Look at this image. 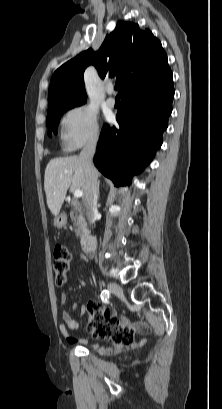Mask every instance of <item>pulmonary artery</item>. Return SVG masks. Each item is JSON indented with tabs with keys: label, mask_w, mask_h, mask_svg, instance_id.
<instances>
[{
	"label": "pulmonary artery",
	"mask_w": 222,
	"mask_h": 409,
	"mask_svg": "<svg viewBox=\"0 0 222 409\" xmlns=\"http://www.w3.org/2000/svg\"><path fill=\"white\" fill-rule=\"evenodd\" d=\"M107 93H108V98L106 100V103H107L108 106L113 107L115 105V99L112 96V93H113V87L112 86L108 87Z\"/></svg>",
	"instance_id": "pulmonary-artery-1"
}]
</instances>
